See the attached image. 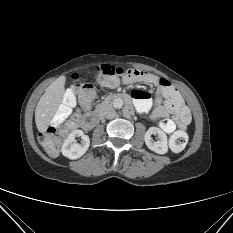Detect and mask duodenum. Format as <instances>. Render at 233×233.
<instances>
[{
	"label": "duodenum",
	"instance_id": "obj_1",
	"mask_svg": "<svg viewBox=\"0 0 233 233\" xmlns=\"http://www.w3.org/2000/svg\"><path fill=\"white\" fill-rule=\"evenodd\" d=\"M115 100H124L127 103V111L128 112H132L133 107L131 104V99L128 95L126 94H116L113 97ZM102 116V112L101 111H96L94 113L85 115L81 121H80V125L84 130H90L93 127H95L97 125V123L99 122L100 118Z\"/></svg>",
	"mask_w": 233,
	"mask_h": 233
}]
</instances>
